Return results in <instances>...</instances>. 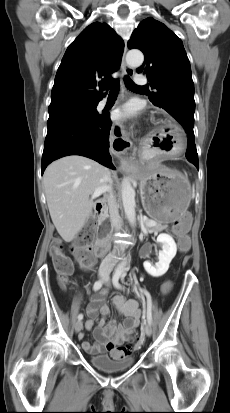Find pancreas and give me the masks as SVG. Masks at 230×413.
Returning <instances> with one entry per match:
<instances>
[{
  "instance_id": "1",
  "label": "pancreas",
  "mask_w": 230,
  "mask_h": 413,
  "mask_svg": "<svg viewBox=\"0 0 230 413\" xmlns=\"http://www.w3.org/2000/svg\"><path fill=\"white\" fill-rule=\"evenodd\" d=\"M150 222V221H149ZM168 228V225H166V224H161V223H156L154 226H153V230L154 231H162V230H165V229H167Z\"/></svg>"
}]
</instances>
